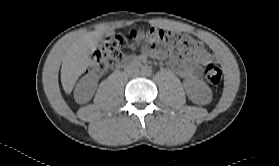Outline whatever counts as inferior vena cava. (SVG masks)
I'll return each mask as SVG.
<instances>
[{"label": "inferior vena cava", "mask_w": 279, "mask_h": 166, "mask_svg": "<svg viewBox=\"0 0 279 166\" xmlns=\"http://www.w3.org/2000/svg\"><path fill=\"white\" fill-rule=\"evenodd\" d=\"M138 72H139V71H138L137 69H135L133 72H129V74H130V75H137Z\"/></svg>", "instance_id": "obj_1"}]
</instances>
